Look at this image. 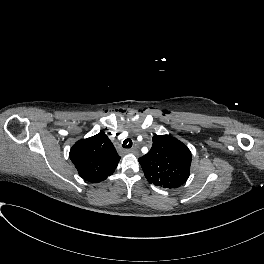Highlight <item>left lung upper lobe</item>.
<instances>
[{
	"instance_id": "5c2ea615",
	"label": "left lung upper lobe",
	"mask_w": 264,
	"mask_h": 264,
	"mask_svg": "<svg viewBox=\"0 0 264 264\" xmlns=\"http://www.w3.org/2000/svg\"><path fill=\"white\" fill-rule=\"evenodd\" d=\"M138 160L149 183L171 189L187 181L192 156L188 147L176 138L155 135L151 150Z\"/></svg>"
}]
</instances>
